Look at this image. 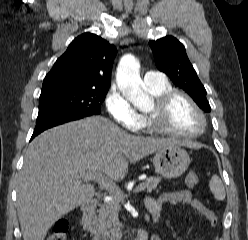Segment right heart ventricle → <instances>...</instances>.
I'll list each match as a JSON object with an SVG mask.
<instances>
[{"label": "right heart ventricle", "instance_id": "1", "mask_svg": "<svg viewBox=\"0 0 248 240\" xmlns=\"http://www.w3.org/2000/svg\"><path fill=\"white\" fill-rule=\"evenodd\" d=\"M145 89L148 91V93L153 96L157 97L163 92H166L168 90L172 89L171 84L166 80L163 83H158V84H151V85H146L145 84Z\"/></svg>", "mask_w": 248, "mask_h": 240}]
</instances>
